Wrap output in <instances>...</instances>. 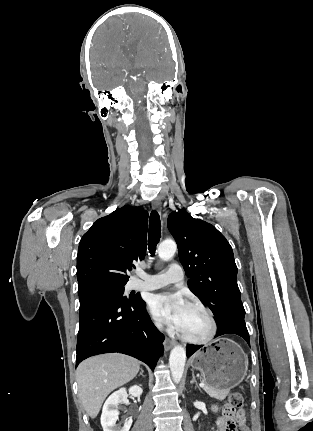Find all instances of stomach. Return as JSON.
Returning <instances> with one entry per match:
<instances>
[{
	"mask_svg": "<svg viewBox=\"0 0 313 431\" xmlns=\"http://www.w3.org/2000/svg\"><path fill=\"white\" fill-rule=\"evenodd\" d=\"M190 365L201 372L206 385L217 390L234 388L243 381L248 370L244 351L228 338L216 339L197 351Z\"/></svg>",
	"mask_w": 313,
	"mask_h": 431,
	"instance_id": "0dacf381",
	"label": "stomach"
}]
</instances>
